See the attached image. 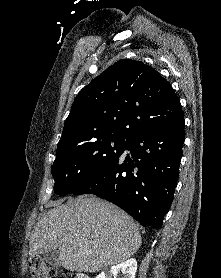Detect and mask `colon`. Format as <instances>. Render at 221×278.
<instances>
[{"label":"colon","instance_id":"obj_1","mask_svg":"<svg viewBox=\"0 0 221 278\" xmlns=\"http://www.w3.org/2000/svg\"><path fill=\"white\" fill-rule=\"evenodd\" d=\"M28 264L34 278H62L54 267L40 257H31Z\"/></svg>","mask_w":221,"mask_h":278}]
</instances>
